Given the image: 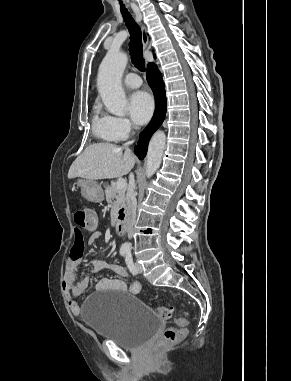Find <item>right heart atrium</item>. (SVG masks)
Here are the masks:
<instances>
[{
	"label": "right heart atrium",
	"mask_w": 291,
	"mask_h": 381,
	"mask_svg": "<svg viewBox=\"0 0 291 381\" xmlns=\"http://www.w3.org/2000/svg\"><path fill=\"white\" fill-rule=\"evenodd\" d=\"M111 131L120 140L126 138L132 131L133 125L126 117L107 116Z\"/></svg>",
	"instance_id": "obj_1"
}]
</instances>
